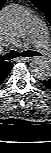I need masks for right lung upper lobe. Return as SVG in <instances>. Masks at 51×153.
<instances>
[{
    "label": "right lung upper lobe",
    "mask_w": 51,
    "mask_h": 153,
    "mask_svg": "<svg viewBox=\"0 0 51 153\" xmlns=\"http://www.w3.org/2000/svg\"><path fill=\"white\" fill-rule=\"evenodd\" d=\"M6 2V0H0V10L3 6V4ZM10 63L7 61H2L0 59V84L1 82V78L6 74V70L8 69Z\"/></svg>",
    "instance_id": "1"
}]
</instances>
